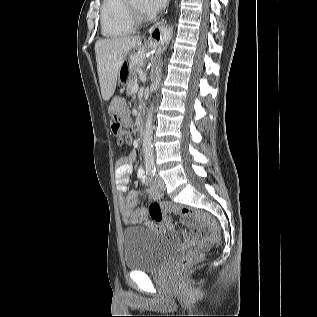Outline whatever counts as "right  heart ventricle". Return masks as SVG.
Segmentation results:
<instances>
[{"mask_svg": "<svg viewBox=\"0 0 317 317\" xmlns=\"http://www.w3.org/2000/svg\"><path fill=\"white\" fill-rule=\"evenodd\" d=\"M101 33L106 38H118L132 33L135 24L127 0H103L100 9Z\"/></svg>", "mask_w": 317, "mask_h": 317, "instance_id": "obj_1", "label": "right heart ventricle"}]
</instances>
